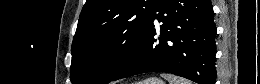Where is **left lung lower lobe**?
Segmentation results:
<instances>
[{"label": "left lung lower lobe", "instance_id": "left-lung-lower-lobe-1", "mask_svg": "<svg viewBox=\"0 0 260 84\" xmlns=\"http://www.w3.org/2000/svg\"><path fill=\"white\" fill-rule=\"evenodd\" d=\"M215 36L210 0H156L136 52L109 82L167 72L198 84H215Z\"/></svg>", "mask_w": 260, "mask_h": 84}]
</instances>
